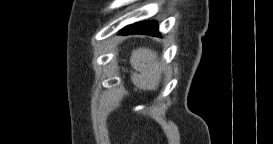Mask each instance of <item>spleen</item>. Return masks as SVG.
<instances>
[{
	"label": "spleen",
	"instance_id": "1",
	"mask_svg": "<svg viewBox=\"0 0 273 144\" xmlns=\"http://www.w3.org/2000/svg\"><path fill=\"white\" fill-rule=\"evenodd\" d=\"M131 66L136 70L131 80L143 90L157 89L161 78V66L157 53L149 48H138L130 57Z\"/></svg>",
	"mask_w": 273,
	"mask_h": 144
}]
</instances>
